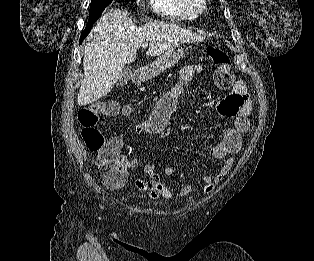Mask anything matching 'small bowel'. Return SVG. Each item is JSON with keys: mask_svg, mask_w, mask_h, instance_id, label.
Listing matches in <instances>:
<instances>
[{"mask_svg": "<svg viewBox=\"0 0 314 261\" xmlns=\"http://www.w3.org/2000/svg\"><path fill=\"white\" fill-rule=\"evenodd\" d=\"M203 70L202 65H185L179 71L177 82L166 92L156 104L150 118L136 126V133L139 135L155 134L163 139L169 138V132L166 125L170 115L176 108L178 99L182 94L185 84L189 82L196 73ZM252 110V104L248 89L243 81L236 79L233 84V92L230 96L221 100L217 104L218 114L223 118L233 120V126L223 130L221 139L211 147L212 155L222 161L218 172L213 176H204L202 179V189L205 194H211L216 186L229 173L233 166L232 155L237 154L242 147V134L249 129V115ZM120 146L123 143V137L116 138ZM119 166L125 170L136 166L137 159L125 154L117 156ZM177 170L174 167L167 166L163 168L164 176H172ZM144 173L148 179L137 178L133 181V186L146 193V198L154 200L157 198L171 199L172 190L162 181L160 174L156 172V165L150 163L144 166ZM197 189L192 183L185 184L178 192L181 197L187 196Z\"/></svg>", "mask_w": 314, "mask_h": 261, "instance_id": "c3829d8e", "label": "small bowel"}]
</instances>
